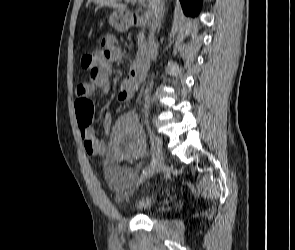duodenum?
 Here are the masks:
<instances>
[{"label":"duodenum","mask_w":295,"mask_h":250,"mask_svg":"<svg viewBox=\"0 0 295 250\" xmlns=\"http://www.w3.org/2000/svg\"><path fill=\"white\" fill-rule=\"evenodd\" d=\"M131 16H132L131 21L133 22V24L139 25V26L146 25L145 19L140 14L133 13ZM148 65H149L148 53L145 52L144 54L138 57V59L135 62V66L133 68L135 77L138 80L144 79L146 77L147 71H148Z\"/></svg>","instance_id":"duodenum-1"}]
</instances>
